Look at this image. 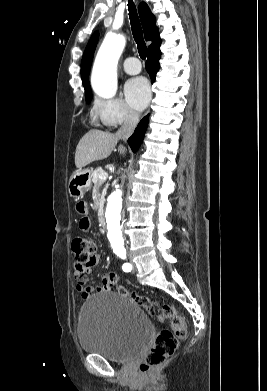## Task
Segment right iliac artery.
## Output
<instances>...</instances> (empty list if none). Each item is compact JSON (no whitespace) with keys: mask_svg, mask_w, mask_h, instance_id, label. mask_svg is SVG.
I'll return each instance as SVG.
<instances>
[{"mask_svg":"<svg viewBox=\"0 0 267 391\" xmlns=\"http://www.w3.org/2000/svg\"><path fill=\"white\" fill-rule=\"evenodd\" d=\"M122 268H123V270H124L125 272H129V271H131L132 266H131V264H129V263H125V264H123Z\"/></svg>","mask_w":267,"mask_h":391,"instance_id":"1","label":"right iliac artery"}]
</instances>
